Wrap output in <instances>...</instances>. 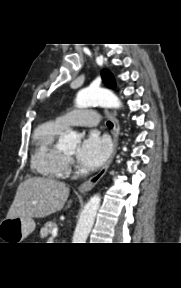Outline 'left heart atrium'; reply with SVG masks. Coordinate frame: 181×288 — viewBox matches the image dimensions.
<instances>
[{
	"instance_id": "left-heart-atrium-1",
	"label": "left heart atrium",
	"mask_w": 181,
	"mask_h": 288,
	"mask_svg": "<svg viewBox=\"0 0 181 288\" xmlns=\"http://www.w3.org/2000/svg\"><path fill=\"white\" fill-rule=\"evenodd\" d=\"M111 144L107 137L90 132L83 140L78 152V161L87 168L99 167L108 158Z\"/></svg>"
}]
</instances>
